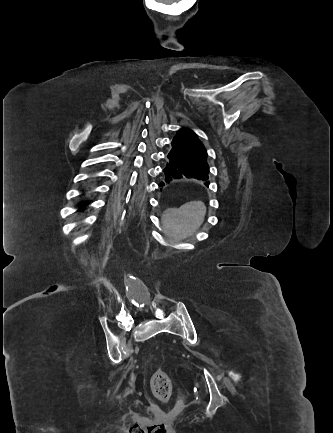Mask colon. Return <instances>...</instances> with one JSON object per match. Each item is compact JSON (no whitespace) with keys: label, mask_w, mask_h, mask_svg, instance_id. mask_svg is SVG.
I'll return each instance as SVG.
<instances>
[{"label":"colon","mask_w":333,"mask_h":433,"mask_svg":"<svg viewBox=\"0 0 333 433\" xmlns=\"http://www.w3.org/2000/svg\"><path fill=\"white\" fill-rule=\"evenodd\" d=\"M151 388L154 396L160 402H167L172 394V380L165 369H158L151 378Z\"/></svg>","instance_id":"1"}]
</instances>
